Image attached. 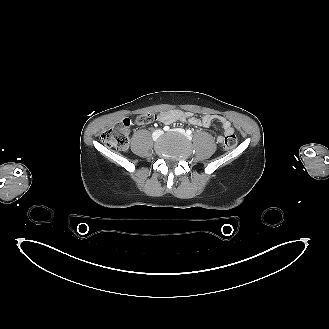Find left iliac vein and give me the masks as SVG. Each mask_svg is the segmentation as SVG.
<instances>
[{"label": "left iliac vein", "mask_w": 329, "mask_h": 329, "mask_svg": "<svg viewBox=\"0 0 329 329\" xmlns=\"http://www.w3.org/2000/svg\"><path fill=\"white\" fill-rule=\"evenodd\" d=\"M176 131L179 132V133H181V134H183V135H185L184 129L179 128V129H176Z\"/></svg>", "instance_id": "1"}]
</instances>
